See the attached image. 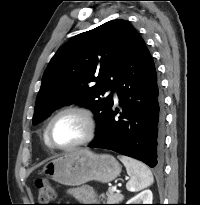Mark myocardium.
<instances>
[{
  "instance_id": "1",
  "label": "myocardium",
  "mask_w": 200,
  "mask_h": 205,
  "mask_svg": "<svg viewBox=\"0 0 200 205\" xmlns=\"http://www.w3.org/2000/svg\"><path fill=\"white\" fill-rule=\"evenodd\" d=\"M68 113L77 114L83 119L85 123V134L77 142L70 144V145L62 146L54 142V140L52 139L51 130H52V126L55 123V121L62 115L68 114ZM96 132H97V121H96L94 113L89 108L85 106H80V105L68 106L58 111L50 119L49 123L47 124L46 131H45L48 144L52 148L63 150V151L73 150V149H76L78 147H81V146H84L90 143L95 138Z\"/></svg>"
}]
</instances>
